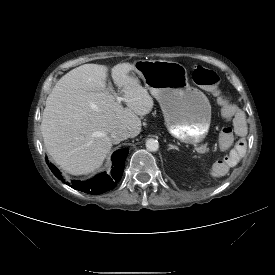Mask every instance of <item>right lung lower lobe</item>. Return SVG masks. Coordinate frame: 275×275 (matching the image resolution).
Segmentation results:
<instances>
[{"label": "right lung lower lobe", "mask_w": 275, "mask_h": 275, "mask_svg": "<svg viewBox=\"0 0 275 275\" xmlns=\"http://www.w3.org/2000/svg\"><path fill=\"white\" fill-rule=\"evenodd\" d=\"M127 155H128L127 148L116 151L112 156L114 168L111 174L108 175L106 173H102L86 182L72 181L71 183H69L65 179H63V177L61 176V173L54 165L48 163L47 160L46 162L49 168L51 169L52 173L58 179L70 185L72 188L88 194H101L108 190L113 189L117 185V183L119 182L123 174L125 159Z\"/></svg>", "instance_id": "obj_1"}]
</instances>
